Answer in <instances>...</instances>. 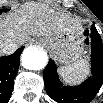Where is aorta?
I'll list each match as a JSON object with an SVG mask.
<instances>
[{
    "label": "aorta",
    "mask_w": 103,
    "mask_h": 103,
    "mask_svg": "<svg viewBox=\"0 0 103 103\" xmlns=\"http://www.w3.org/2000/svg\"><path fill=\"white\" fill-rule=\"evenodd\" d=\"M21 62L25 69L41 70L46 66L47 54L36 47H29L24 49Z\"/></svg>",
    "instance_id": "obj_1"
}]
</instances>
